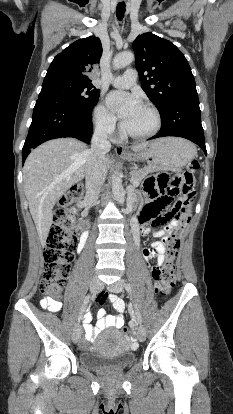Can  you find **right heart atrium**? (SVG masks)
Masks as SVG:
<instances>
[{"instance_id": "1", "label": "right heart atrium", "mask_w": 233, "mask_h": 414, "mask_svg": "<svg viewBox=\"0 0 233 414\" xmlns=\"http://www.w3.org/2000/svg\"><path fill=\"white\" fill-rule=\"evenodd\" d=\"M92 122L95 130L103 136L112 135L116 128L115 117L101 102L97 103L92 111Z\"/></svg>"}]
</instances>
